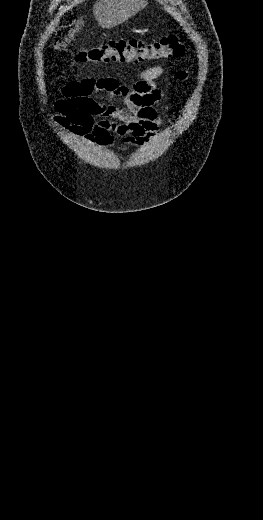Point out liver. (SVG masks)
Here are the masks:
<instances>
[{
    "instance_id": "obj_1",
    "label": "liver",
    "mask_w": 263,
    "mask_h": 520,
    "mask_svg": "<svg viewBox=\"0 0 263 520\" xmlns=\"http://www.w3.org/2000/svg\"><path fill=\"white\" fill-rule=\"evenodd\" d=\"M148 4L147 0H98L93 6V14L98 24L102 28L115 27L144 9ZM75 28L69 31V39H73L83 23L82 18L74 22ZM68 42V38H65ZM65 42L58 43L54 48L59 49Z\"/></svg>"
}]
</instances>
